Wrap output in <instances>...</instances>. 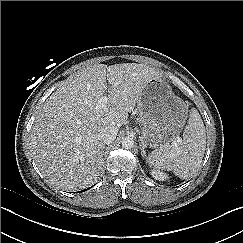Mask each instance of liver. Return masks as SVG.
<instances>
[{
  "instance_id": "6515ba94",
  "label": "liver",
  "mask_w": 243,
  "mask_h": 243,
  "mask_svg": "<svg viewBox=\"0 0 243 243\" xmlns=\"http://www.w3.org/2000/svg\"><path fill=\"white\" fill-rule=\"evenodd\" d=\"M155 77L159 72L154 67L137 63L94 64L69 77L45 101L31 130V149L41 173L66 191L93 184L103 164V130L126 123L143 88ZM105 92L108 103L96 110Z\"/></svg>"
}]
</instances>
